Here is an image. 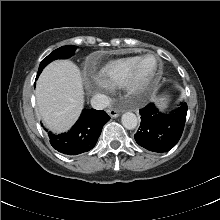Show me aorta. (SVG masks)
<instances>
[{
    "instance_id": "obj_1",
    "label": "aorta",
    "mask_w": 220,
    "mask_h": 220,
    "mask_svg": "<svg viewBox=\"0 0 220 220\" xmlns=\"http://www.w3.org/2000/svg\"><path fill=\"white\" fill-rule=\"evenodd\" d=\"M121 122L126 129L132 130L136 128L138 120L134 113L126 112L122 115Z\"/></svg>"
}]
</instances>
